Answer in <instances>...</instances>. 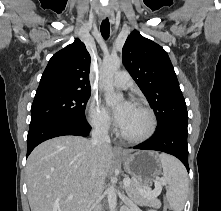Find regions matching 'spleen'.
Wrapping results in <instances>:
<instances>
[{
  "instance_id": "obj_1",
  "label": "spleen",
  "mask_w": 221,
  "mask_h": 211,
  "mask_svg": "<svg viewBox=\"0 0 221 211\" xmlns=\"http://www.w3.org/2000/svg\"><path fill=\"white\" fill-rule=\"evenodd\" d=\"M165 181L168 184L166 198L174 211H182L188 194V175L179 160L168 154H160Z\"/></svg>"
}]
</instances>
